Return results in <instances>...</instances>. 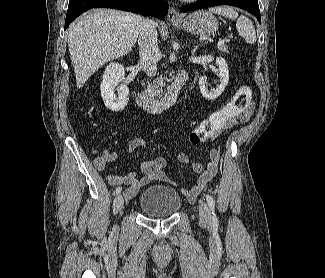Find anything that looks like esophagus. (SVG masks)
<instances>
[{
    "instance_id": "obj_1",
    "label": "esophagus",
    "mask_w": 325,
    "mask_h": 278,
    "mask_svg": "<svg viewBox=\"0 0 325 278\" xmlns=\"http://www.w3.org/2000/svg\"><path fill=\"white\" fill-rule=\"evenodd\" d=\"M168 19L169 21H179L182 19V16L174 7H170L168 12Z\"/></svg>"
}]
</instances>
